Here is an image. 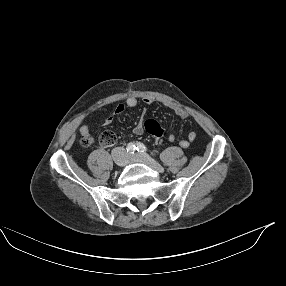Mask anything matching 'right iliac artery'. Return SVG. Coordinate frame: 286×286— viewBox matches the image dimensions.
Returning a JSON list of instances; mask_svg holds the SVG:
<instances>
[{"label":"right iliac artery","mask_w":286,"mask_h":286,"mask_svg":"<svg viewBox=\"0 0 286 286\" xmlns=\"http://www.w3.org/2000/svg\"><path fill=\"white\" fill-rule=\"evenodd\" d=\"M127 149V152L130 153V154H133L135 149H136V146L134 143H129L126 147Z\"/></svg>","instance_id":"1"}]
</instances>
